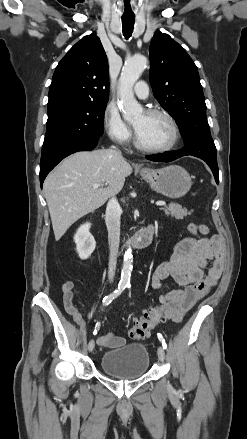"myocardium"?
I'll use <instances>...</instances> for the list:
<instances>
[{
	"instance_id": "1",
	"label": "myocardium",
	"mask_w": 247,
	"mask_h": 439,
	"mask_svg": "<svg viewBox=\"0 0 247 439\" xmlns=\"http://www.w3.org/2000/svg\"><path fill=\"white\" fill-rule=\"evenodd\" d=\"M147 116H161L164 117L170 124L171 129H172V139L171 141L162 147H149L144 145L135 128H134V144L135 146L144 152H148V153H164V152H168L173 150L179 143L180 140V130H179V126L175 120V118L167 111L162 110V109H157V108H152V109H148L144 112Z\"/></svg>"
}]
</instances>
